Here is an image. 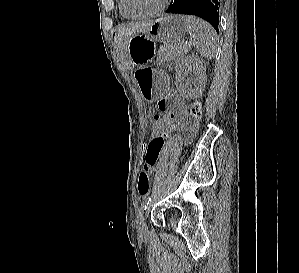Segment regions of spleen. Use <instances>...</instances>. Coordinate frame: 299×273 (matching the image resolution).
Returning a JSON list of instances; mask_svg holds the SVG:
<instances>
[{
	"mask_svg": "<svg viewBox=\"0 0 299 273\" xmlns=\"http://www.w3.org/2000/svg\"><path fill=\"white\" fill-rule=\"evenodd\" d=\"M185 21L190 35V43L201 56L208 60L213 59L218 38L213 27L195 16H186Z\"/></svg>",
	"mask_w": 299,
	"mask_h": 273,
	"instance_id": "spleen-1",
	"label": "spleen"
}]
</instances>
